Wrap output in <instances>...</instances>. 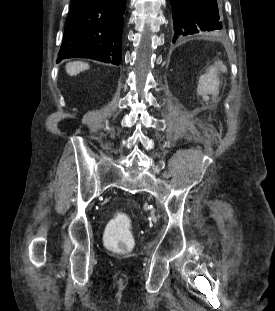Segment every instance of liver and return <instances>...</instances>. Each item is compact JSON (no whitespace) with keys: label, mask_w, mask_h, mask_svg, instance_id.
Masks as SVG:
<instances>
[{"label":"liver","mask_w":275,"mask_h":311,"mask_svg":"<svg viewBox=\"0 0 275 311\" xmlns=\"http://www.w3.org/2000/svg\"><path fill=\"white\" fill-rule=\"evenodd\" d=\"M89 68V65L84 62L76 61V62H70L66 64V72L73 76L77 75L83 70H86Z\"/></svg>","instance_id":"liver-1"}]
</instances>
